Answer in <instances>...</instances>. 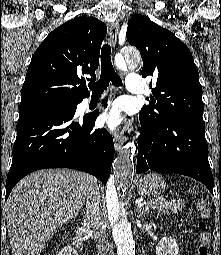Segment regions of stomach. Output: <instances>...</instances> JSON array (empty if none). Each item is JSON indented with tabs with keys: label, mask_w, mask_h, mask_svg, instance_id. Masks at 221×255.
I'll use <instances>...</instances> for the list:
<instances>
[{
	"label": "stomach",
	"mask_w": 221,
	"mask_h": 255,
	"mask_svg": "<svg viewBox=\"0 0 221 255\" xmlns=\"http://www.w3.org/2000/svg\"><path fill=\"white\" fill-rule=\"evenodd\" d=\"M137 191L144 196H158L165 190L166 183L157 173H148L134 182Z\"/></svg>",
	"instance_id": "obj_1"
}]
</instances>
